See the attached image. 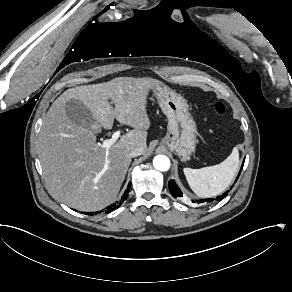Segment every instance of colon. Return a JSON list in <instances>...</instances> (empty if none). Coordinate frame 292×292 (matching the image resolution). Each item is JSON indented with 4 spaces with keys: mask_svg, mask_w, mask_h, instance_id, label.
I'll use <instances>...</instances> for the list:
<instances>
[{
    "mask_svg": "<svg viewBox=\"0 0 292 292\" xmlns=\"http://www.w3.org/2000/svg\"><path fill=\"white\" fill-rule=\"evenodd\" d=\"M213 111L217 117H222L226 112V106L222 102H216L213 105Z\"/></svg>",
    "mask_w": 292,
    "mask_h": 292,
    "instance_id": "5ec220e1",
    "label": "colon"
}]
</instances>
